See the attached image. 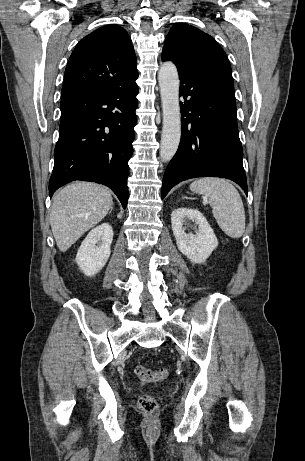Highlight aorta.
Masks as SVG:
<instances>
[{
  "label": "aorta",
  "mask_w": 305,
  "mask_h": 461,
  "mask_svg": "<svg viewBox=\"0 0 305 461\" xmlns=\"http://www.w3.org/2000/svg\"><path fill=\"white\" fill-rule=\"evenodd\" d=\"M158 81L163 110L160 158L163 162H167L175 155L181 137L179 76L172 62H164L161 65Z\"/></svg>",
  "instance_id": "aorta-1"
}]
</instances>
